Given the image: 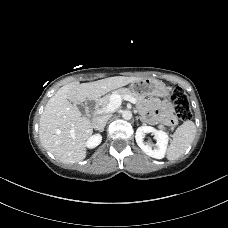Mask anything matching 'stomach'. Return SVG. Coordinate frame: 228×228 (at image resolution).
Instances as JSON below:
<instances>
[{"label": "stomach", "mask_w": 228, "mask_h": 228, "mask_svg": "<svg viewBox=\"0 0 228 228\" xmlns=\"http://www.w3.org/2000/svg\"><path fill=\"white\" fill-rule=\"evenodd\" d=\"M130 89L141 96L167 97L169 90L163 82L153 78H144L130 84Z\"/></svg>", "instance_id": "0dacf381"}]
</instances>
